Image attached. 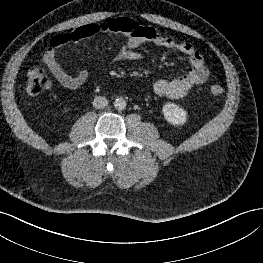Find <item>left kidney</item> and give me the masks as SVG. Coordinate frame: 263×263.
I'll return each instance as SVG.
<instances>
[{
	"instance_id": "obj_1",
	"label": "left kidney",
	"mask_w": 263,
	"mask_h": 263,
	"mask_svg": "<svg viewBox=\"0 0 263 263\" xmlns=\"http://www.w3.org/2000/svg\"><path fill=\"white\" fill-rule=\"evenodd\" d=\"M162 112L167 122L172 125H183L187 120L186 111L174 103L165 104Z\"/></svg>"
}]
</instances>
